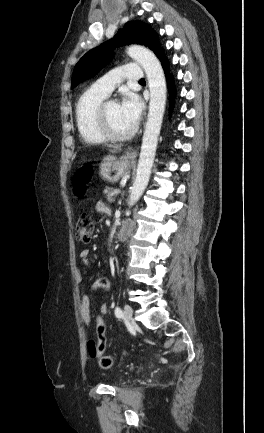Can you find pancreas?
<instances>
[{
  "label": "pancreas",
  "mask_w": 264,
  "mask_h": 433,
  "mask_svg": "<svg viewBox=\"0 0 264 433\" xmlns=\"http://www.w3.org/2000/svg\"><path fill=\"white\" fill-rule=\"evenodd\" d=\"M113 192L114 189L110 187H106L104 190V194L106 195L107 201L110 203L114 201L115 194Z\"/></svg>",
  "instance_id": "obj_1"
}]
</instances>
